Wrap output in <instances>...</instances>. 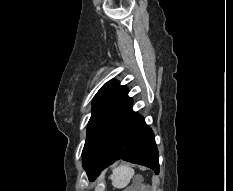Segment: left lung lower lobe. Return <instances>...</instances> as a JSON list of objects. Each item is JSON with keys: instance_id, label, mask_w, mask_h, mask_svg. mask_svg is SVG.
I'll return each instance as SVG.
<instances>
[{"instance_id": "obj_1", "label": "left lung lower lobe", "mask_w": 233, "mask_h": 191, "mask_svg": "<svg viewBox=\"0 0 233 191\" xmlns=\"http://www.w3.org/2000/svg\"><path fill=\"white\" fill-rule=\"evenodd\" d=\"M132 103L130 98L92 147L84 163L90 180L119 159L144 165L158 174L159 155L154 134L144 119L132 110Z\"/></svg>"}]
</instances>
